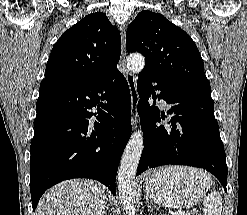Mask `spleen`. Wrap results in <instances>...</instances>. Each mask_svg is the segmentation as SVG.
Segmentation results:
<instances>
[{
    "instance_id": "1",
    "label": "spleen",
    "mask_w": 247,
    "mask_h": 215,
    "mask_svg": "<svg viewBox=\"0 0 247 215\" xmlns=\"http://www.w3.org/2000/svg\"><path fill=\"white\" fill-rule=\"evenodd\" d=\"M210 181V178L207 176ZM203 205L207 208V215H222V197L219 192L213 191L203 200Z\"/></svg>"
}]
</instances>
